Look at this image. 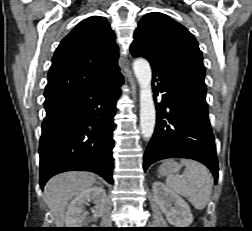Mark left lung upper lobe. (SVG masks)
Instances as JSON below:
<instances>
[{"label": "left lung upper lobe", "instance_id": "obj_1", "mask_svg": "<svg viewBox=\"0 0 252 231\" xmlns=\"http://www.w3.org/2000/svg\"><path fill=\"white\" fill-rule=\"evenodd\" d=\"M131 53L133 57L146 58L153 69H177L205 78L203 57L195 37L163 13L151 12L140 20Z\"/></svg>", "mask_w": 252, "mask_h": 231}]
</instances>
